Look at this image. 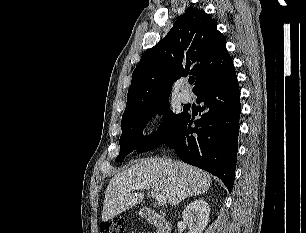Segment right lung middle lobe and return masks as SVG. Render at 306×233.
I'll use <instances>...</instances> for the list:
<instances>
[{
    "mask_svg": "<svg viewBox=\"0 0 306 233\" xmlns=\"http://www.w3.org/2000/svg\"><path fill=\"white\" fill-rule=\"evenodd\" d=\"M168 105L169 100H164L122 117L120 152L116 161L123 160L133 150L146 152L158 147L178 129L186 113L174 114L168 109ZM157 113L164 114L163 124L156 132L149 136H143L147 121Z\"/></svg>",
    "mask_w": 306,
    "mask_h": 233,
    "instance_id": "dd1d6c3e",
    "label": "right lung middle lobe"
}]
</instances>
